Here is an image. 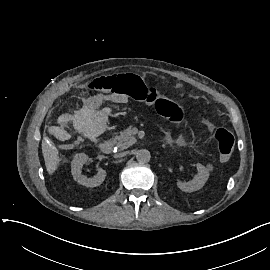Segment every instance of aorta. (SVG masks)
Masks as SVG:
<instances>
[{"mask_svg": "<svg viewBox=\"0 0 270 270\" xmlns=\"http://www.w3.org/2000/svg\"><path fill=\"white\" fill-rule=\"evenodd\" d=\"M150 152L146 149L138 150L136 153V159L139 163H148L150 160Z\"/></svg>", "mask_w": 270, "mask_h": 270, "instance_id": "aorta-1", "label": "aorta"}]
</instances>
